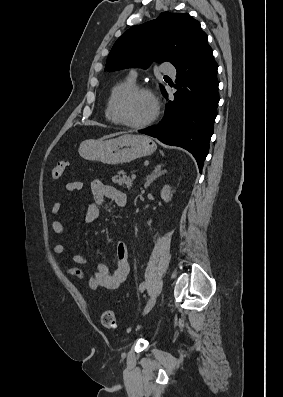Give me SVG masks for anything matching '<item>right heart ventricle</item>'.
I'll return each instance as SVG.
<instances>
[{"label": "right heart ventricle", "mask_w": 283, "mask_h": 397, "mask_svg": "<svg viewBox=\"0 0 283 397\" xmlns=\"http://www.w3.org/2000/svg\"><path fill=\"white\" fill-rule=\"evenodd\" d=\"M134 86V80L131 78H125L116 82L109 90L106 104H105V117L106 119L114 124H119L115 113V102L119 95L124 91Z\"/></svg>", "instance_id": "right-heart-ventricle-1"}]
</instances>
